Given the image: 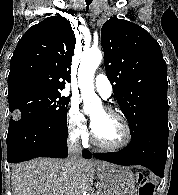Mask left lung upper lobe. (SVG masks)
<instances>
[{
    "mask_svg": "<svg viewBox=\"0 0 178 195\" xmlns=\"http://www.w3.org/2000/svg\"><path fill=\"white\" fill-rule=\"evenodd\" d=\"M106 75L130 124L131 140L168 128L167 67L158 42L142 27L111 18L101 28Z\"/></svg>",
    "mask_w": 178,
    "mask_h": 195,
    "instance_id": "5c2ea615",
    "label": "left lung upper lobe"
}]
</instances>
